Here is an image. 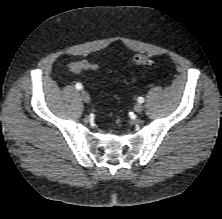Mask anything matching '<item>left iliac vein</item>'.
Segmentation results:
<instances>
[{"mask_svg": "<svg viewBox=\"0 0 222 219\" xmlns=\"http://www.w3.org/2000/svg\"><path fill=\"white\" fill-rule=\"evenodd\" d=\"M144 109V106L141 104V103H137L135 106H134V111L136 113H141Z\"/></svg>", "mask_w": 222, "mask_h": 219, "instance_id": "left-iliac-vein-1", "label": "left iliac vein"}]
</instances>
